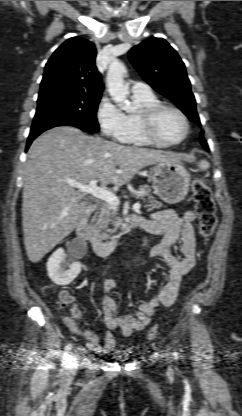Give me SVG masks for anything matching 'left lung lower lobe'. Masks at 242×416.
Returning a JSON list of instances; mask_svg holds the SVG:
<instances>
[{
  "mask_svg": "<svg viewBox=\"0 0 242 416\" xmlns=\"http://www.w3.org/2000/svg\"><path fill=\"white\" fill-rule=\"evenodd\" d=\"M201 144L203 145V147H204L205 149L209 150L208 145H207V143L205 142V140H203V141L201 142Z\"/></svg>",
  "mask_w": 242,
  "mask_h": 416,
  "instance_id": "left-lung-lower-lobe-1",
  "label": "left lung lower lobe"
}]
</instances>
